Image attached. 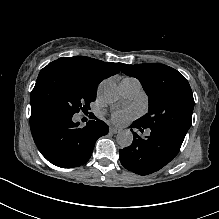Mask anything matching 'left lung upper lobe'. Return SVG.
<instances>
[{
	"label": "left lung upper lobe",
	"mask_w": 219,
	"mask_h": 219,
	"mask_svg": "<svg viewBox=\"0 0 219 219\" xmlns=\"http://www.w3.org/2000/svg\"><path fill=\"white\" fill-rule=\"evenodd\" d=\"M123 73L137 78L149 98V111L136 121L151 129L166 130L185 137L191 126L194 98L187 79L163 64L124 66Z\"/></svg>",
	"instance_id": "1"
}]
</instances>
